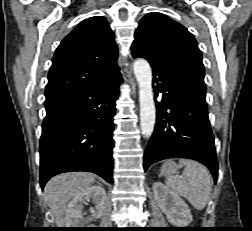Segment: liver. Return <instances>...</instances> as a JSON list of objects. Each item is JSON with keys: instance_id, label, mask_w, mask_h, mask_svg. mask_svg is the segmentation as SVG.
I'll use <instances>...</instances> for the list:
<instances>
[{"instance_id": "1", "label": "liver", "mask_w": 252, "mask_h": 231, "mask_svg": "<svg viewBox=\"0 0 252 231\" xmlns=\"http://www.w3.org/2000/svg\"><path fill=\"white\" fill-rule=\"evenodd\" d=\"M94 182V177L84 172L64 173L49 180L44 190L45 200L59 228L64 226L68 201L89 188Z\"/></svg>"}]
</instances>
